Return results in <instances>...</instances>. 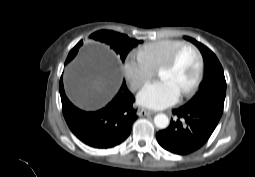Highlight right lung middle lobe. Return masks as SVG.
Here are the masks:
<instances>
[{
    "label": "right lung middle lobe",
    "mask_w": 255,
    "mask_h": 177,
    "mask_svg": "<svg viewBox=\"0 0 255 177\" xmlns=\"http://www.w3.org/2000/svg\"><path fill=\"white\" fill-rule=\"evenodd\" d=\"M91 38L104 42L110 45L111 48L120 56L121 60L124 62L128 52L138 45L142 43V41H138L132 38H129L127 35L117 33L110 30H100L93 33ZM83 44L82 41L79 42V47ZM78 47V49H79ZM78 49L75 51V55L78 52ZM73 59V58H72ZM67 62V61H66Z\"/></svg>",
    "instance_id": "dd1d6c3e"
}]
</instances>
